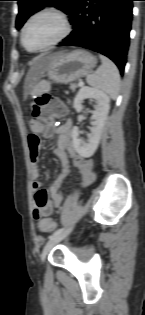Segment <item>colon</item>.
<instances>
[{
  "mask_svg": "<svg viewBox=\"0 0 145 315\" xmlns=\"http://www.w3.org/2000/svg\"><path fill=\"white\" fill-rule=\"evenodd\" d=\"M64 110L65 108L61 102L54 100L48 94H44L38 97L33 103L29 124L34 128L40 121L59 117L63 114ZM55 227L56 223L51 218H42L39 222V228L44 232H51Z\"/></svg>",
  "mask_w": 145,
  "mask_h": 315,
  "instance_id": "1",
  "label": "colon"
}]
</instances>
